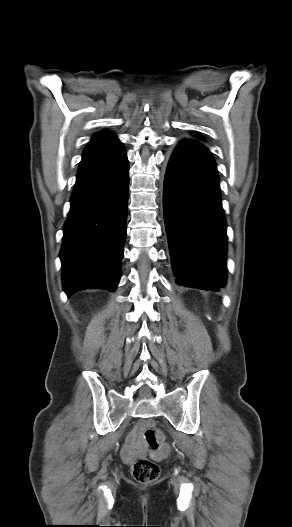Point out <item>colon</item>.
Masks as SVG:
<instances>
[{"label": "colon", "mask_w": 292, "mask_h": 527, "mask_svg": "<svg viewBox=\"0 0 292 527\" xmlns=\"http://www.w3.org/2000/svg\"><path fill=\"white\" fill-rule=\"evenodd\" d=\"M139 427L147 446L153 450L157 449L160 437L155 424L151 421H146ZM132 475L140 483H150L159 478L160 468L148 458L138 457L132 464Z\"/></svg>", "instance_id": "colon-1"}]
</instances>
